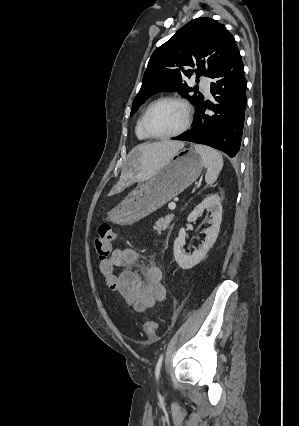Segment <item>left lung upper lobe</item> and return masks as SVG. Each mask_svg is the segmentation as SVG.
<instances>
[{"label": "left lung upper lobe", "instance_id": "1", "mask_svg": "<svg viewBox=\"0 0 299 426\" xmlns=\"http://www.w3.org/2000/svg\"><path fill=\"white\" fill-rule=\"evenodd\" d=\"M237 49L234 37L217 21L203 17L187 23L153 52L131 115L146 99L162 91H178L197 110L204 97L187 85L188 79L194 73L211 78ZM192 91L194 95H190Z\"/></svg>", "mask_w": 299, "mask_h": 426}]
</instances>
